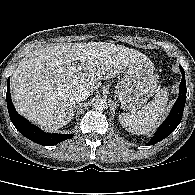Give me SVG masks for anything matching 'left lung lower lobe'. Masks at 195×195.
Instances as JSON below:
<instances>
[{"label": "left lung lower lobe", "instance_id": "left-lung-lower-lobe-1", "mask_svg": "<svg viewBox=\"0 0 195 195\" xmlns=\"http://www.w3.org/2000/svg\"><path fill=\"white\" fill-rule=\"evenodd\" d=\"M179 68L182 73V80L179 87L178 99L173 105L170 114L168 115L166 120L160 125V127L156 131L154 137L151 139L149 144H155L168 137L181 122L183 110L186 102V82H185V71L180 65Z\"/></svg>", "mask_w": 195, "mask_h": 195}]
</instances>
